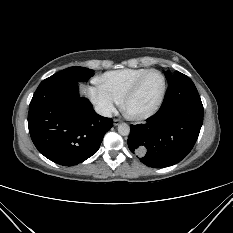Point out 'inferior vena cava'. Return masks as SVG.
Returning a JSON list of instances; mask_svg holds the SVG:
<instances>
[{
  "label": "inferior vena cava",
  "mask_w": 233,
  "mask_h": 233,
  "mask_svg": "<svg viewBox=\"0 0 233 233\" xmlns=\"http://www.w3.org/2000/svg\"><path fill=\"white\" fill-rule=\"evenodd\" d=\"M95 111L99 114L102 115L104 117H111L112 116V112L109 108L107 107H102V106H96L95 107Z\"/></svg>",
  "instance_id": "obj_1"
}]
</instances>
